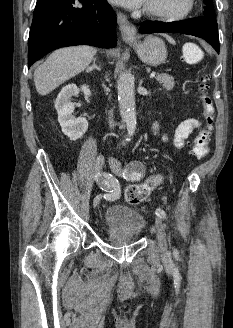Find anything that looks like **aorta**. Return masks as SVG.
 I'll list each match as a JSON object with an SVG mask.
<instances>
[{"instance_id": "obj_1", "label": "aorta", "mask_w": 233, "mask_h": 328, "mask_svg": "<svg viewBox=\"0 0 233 328\" xmlns=\"http://www.w3.org/2000/svg\"><path fill=\"white\" fill-rule=\"evenodd\" d=\"M118 102L123 122L127 126L128 136L136 129L135 85L134 78L127 72H121L118 78ZM129 140V139H128Z\"/></svg>"}]
</instances>
